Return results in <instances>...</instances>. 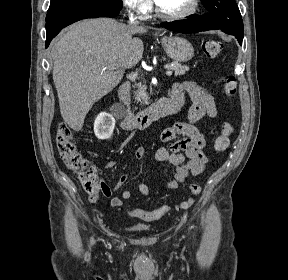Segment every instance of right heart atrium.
<instances>
[{"label":"right heart atrium","mask_w":288,"mask_h":280,"mask_svg":"<svg viewBox=\"0 0 288 280\" xmlns=\"http://www.w3.org/2000/svg\"><path fill=\"white\" fill-rule=\"evenodd\" d=\"M126 10L138 17H145L151 10L150 0H122Z\"/></svg>","instance_id":"d8ad5b80"}]
</instances>
